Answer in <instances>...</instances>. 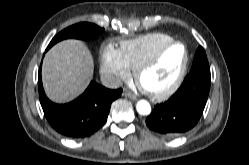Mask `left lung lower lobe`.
I'll list each match as a JSON object with an SVG mask.
<instances>
[{
  "mask_svg": "<svg viewBox=\"0 0 249 165\" xmlns=\"http://www.w3.org/2000/svg\"><path fill=\"white\" fill-rule=\"evenodd\" d=\"M210 81V72L191 71L166 102L154 107L146 118L148 128L168 138L178 137L192 129L205 108Z\"/></svg>",
  "mask_w": 249,
  "mask_h": 165,
  "instance_id": "0a47b994",
  "label": "left lung lower lobe"
}]
</instances>
